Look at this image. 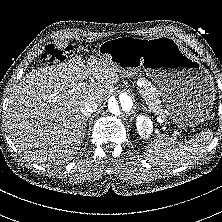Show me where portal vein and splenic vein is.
Returning a JSON list of instances; mask_svg holds the SVG:
<instances>
[{"mask_svg":"<svg viewBox=\"0 0 222 222\" xmlns=\"http://www.w3.org/2000/svg\"><path fill=\"white\" fill-rule=\"evenodd\" d=\"M157 121H158L159 123H161V124L163 123V120L161 119V117H157ZM174 136H180V133L174 131Z\"/></svg>","mask_w":222,"mask_h":222,"instance_id":"obj_1","label":"portal vein and splenic vein"}]
</instances>
